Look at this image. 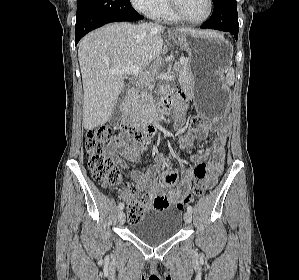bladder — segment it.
I'll use <instances>...</instances> for the list:
<instances>
[{"label":"bladder","mask_w":299,"mask_h":280,"mask_svg":"<svg viewBox=\"0 0 299 280\" xmlns=\"http://www.w3.org/2000/svg\"><path fill=\"white\" fill-rule=\"evenodd\" d=\"M181 226L180 211L173 208H152L140 220L131 224L130 231L142 242L156 245L176 236Z\"/></svg>","instance_id":"31cf9c89"}]
</instances>
